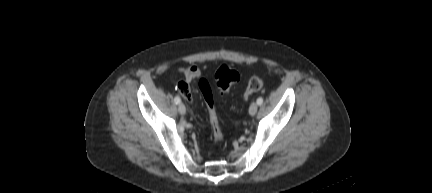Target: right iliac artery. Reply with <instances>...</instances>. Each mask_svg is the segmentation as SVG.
<instances>
[{"mask_svg":"<svg viewBox=\"0 0 432 193\" xmlns=\"http://www.w3.org/2000/svg\"><path fill=\"white\" fill-rule=\"evenodd\" d=\"M174 102H175L176 104H179V103L181 102L180 97L176 96V97L174 98Z\"/></svg>","mask_w":432,"mask_h":193,"instance_id":"82829eb1","label":"right iliac artery"}]
</instances>
